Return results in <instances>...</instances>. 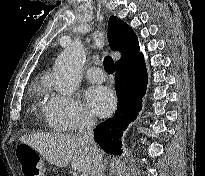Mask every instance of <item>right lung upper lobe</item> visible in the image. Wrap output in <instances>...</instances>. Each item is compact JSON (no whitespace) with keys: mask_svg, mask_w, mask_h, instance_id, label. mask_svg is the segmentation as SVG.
I'll use <instances>...</instances> for the list:
<instances>
[{"mask_svg":"<svg viewBox=\"0 0 205 176\" xmlns=\"http://www.w3.org/2000/svg\"><path fill=\"white\" fill-rule=\"evenodd\" d=\"M108 41L114 51L122 53L116 66L123 65L140 54L136 34L128 24L115 16L109 19Z\"/></svg>","mask_w":205,"mask_h":176,"instance_id":"1","label":"right lung upper lobe"}]
</instances>
